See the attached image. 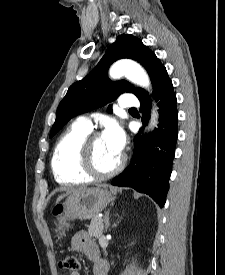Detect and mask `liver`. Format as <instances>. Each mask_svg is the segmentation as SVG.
Masks as SVG:
<instances>
[{
	"instance_id": "obj_1",
	"label": "liver",
	"mask_w": 225,
	"mask_h": 275,
	"mask_svg": "<svg viewBox=\"0 0 225 275\" xmlns=\"http://www.w3.org/2000/svg\"><path fill=\"white\" fill-rule=\"evenodd\" d=\"M86 189H87L86 187H81V188H79V189H72V190H70V192L75 193V192L82 191V190H86ZM62 197H63V195H60V196L57 198V201H56V202L60 201Z\"/></svg>"
}]
</instances>
